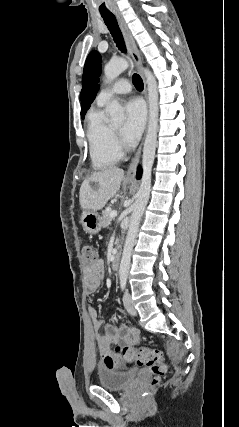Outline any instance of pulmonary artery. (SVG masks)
<instances>
[{
	"label": "pulmonary artery",
	"mask_w": 239,
	"mask_h": 427,
	"mask_svg": "<svg viewBox=\"0 0 239 427\" xmlns=\"http://www.w3.org/2000/svg\"><path fill=\"white\" fill-rule=\"evenodd\" d=\"M131 91V85L126 79H120L113 86L104 88L97 96L98 105H104L116 96L128 94Z\"/></svg>",
	"instance_id": "obj_1"
}]
</instances>
